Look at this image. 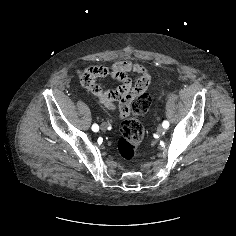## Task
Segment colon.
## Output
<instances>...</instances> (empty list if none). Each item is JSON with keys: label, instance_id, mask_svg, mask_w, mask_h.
Returning <instances> with one entry per match:
<instances>
[{"label": "colon", "instance_id": "5ec220e1", "mask_svg": "<svg viewBox=\"0 0 236 236\" xmlns=\"http://www.w3.org/2000/svg\"><path fill=\"white\" fill-rule=\"evenodd\" d=\"M148 86L149 84H147V88ZM147 88L129 107V112L126 115H121L127 118L121 123V137L117 142V150L125 160H132L136 156L138 147L144 137V128L139 117L150 106ZM130 114L131 117H128Z\"/></svg>", "mask_w": 236, "mask_h": 236}]
</instances>
